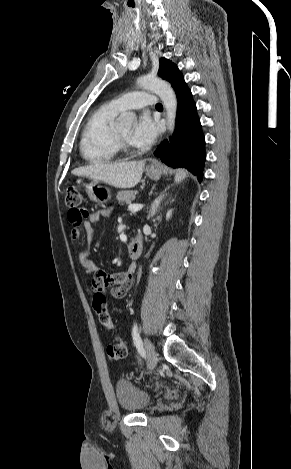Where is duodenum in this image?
<instances>
[{
  "mask_svg": "<svg viewBox=\"0 0 291 469\" xmlns=\"http://www.w3.org/2000/svg\"><path fill=\"white\" fill-rule=\"evenodd\" d=\"M143 251V240L141 236L135 237L128 244V254L132 259H138Z\"/></svg>",
  "mask_w": 291,
  "mask_h": 469,
  "instance_id": "duodenum-1",
  "label": "duodenum"
}]
</instances>
